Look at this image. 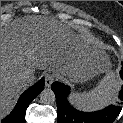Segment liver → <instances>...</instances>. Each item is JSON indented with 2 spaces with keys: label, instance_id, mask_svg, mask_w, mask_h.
I'll use <instances>...</instances> for the list:
<instances>
[{
  "label": "liver",
  "instance_id": "6515ba94",
  "mask_svg": "<svg viewBox=\"0 0 123 123\" xmlns=\"http://www.w3.org/2000/svg\"><path fill=\"white\" fill-rule=\"evenodd\" d=\"M100 49L92 39L45 16H25L1 25V119L35 81V70H51L83 82L97 70ZM28 71L32 78L25 81Z\"/></svg>",
  "mask_w": 123,
  "mask_h": 123
}]
</instances>
